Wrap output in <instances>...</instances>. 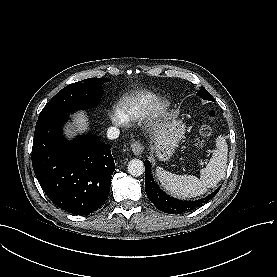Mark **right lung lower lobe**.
Returning <instances> with one entry per match:
<instances>
[{"mask_svg":"<svg viewBox=\"0 0 277 277\" xmlns=\"http://www.w3.org/2000/svg\"><path fill=\"white\" fill-rule=\"evenodd\" d=\"M67 118V114H54L37 120L32 165L55 205L75 215H89L110 192L115 170L111 145L92 134L67 141L61 130Z\"/></svg>","mask_w":277,"mask_h":277,"instance_id":"1","label":"right lung lower lobe"}]
</instances>
